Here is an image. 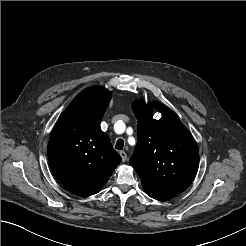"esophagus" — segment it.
Instances as JSON below:
<instances>
[{
	"mask_svg": "<svg viewBox=\"0 0 246 246\" xmlns=\"http://www.w3.org/2000/svg\"><path fill=\"white\" fill-rule=\"evenodd\" d=\"M119 154H120V156L122 158V161L125 162L127 160V154H126V152L120 151Z\"/></svg>",
	"mask_w": 246,
	"mask_h": 246,
	"instance_id": "1",
	"label": "esophagus"
}]
</instances>
